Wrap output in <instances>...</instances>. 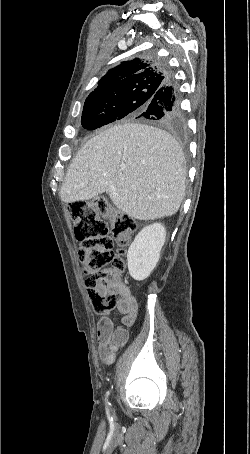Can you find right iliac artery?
I'll use <instances>...</instances> for the list:
<instances>
[{"mask_svg": "<svg viewBox=\"0 0 250 454\" xmlns=\"http://www.w3.org/2000/svg\"><path fill=\"white\" fill-rule=\"evenodd\" d=\"M109 394H110V392H109V391H107V393H106V396L108 397V396H109Z\"/></svg>", "mask_w": 250, "mask_h": 454, "instance_id": "82829eb1", "label": "right iliac artery"}]
</instances>
